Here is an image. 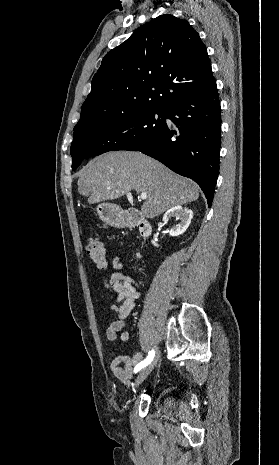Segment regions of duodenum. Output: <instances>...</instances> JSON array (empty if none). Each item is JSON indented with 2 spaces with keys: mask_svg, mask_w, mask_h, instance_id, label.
Returning a JSON list of instances; mask_svg holds the SVG:
<instances>
[{
  "mask_svg": "<svg viewBox=\"0 0 279 465\" xmlns=\"http://www.w3.org/2000/svg\"><path fill=\"white\" fill-rule=\"evenodd\" d=\"M123 224L126 227H138L139 234L142 239L146 240L152 233V227L150 223L144 220L137 212H128L123 220Z\"/></svg>",
  "mask_w": 279,
  "mask_h": 465,
  "instance_id": "1",
  "label": "duodenum"
}]
</instances>
